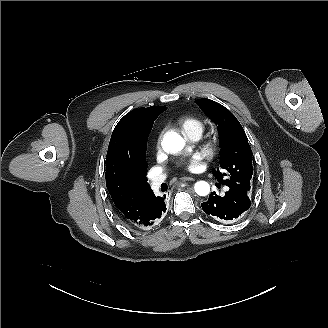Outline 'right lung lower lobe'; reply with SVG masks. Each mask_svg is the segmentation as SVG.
<instances>
[{
    "label": "right lung lower lobe",
    "mask_w": 328,
    "mask_h": 328,
    "mask_svg": "<svg viewBox=\"0 0 328 328\" xmlns=\"http://www.w3.org/2000/svg\"><path fill=\"white\" fill-rule=\"evenodd\" d=\"M165 197V195L162 197L153 195L141 218L134 224L125 223L133 229L149 230L153 228L166 212Z\"/></svg>",
    "instance_id": "1"
}]
</instances>
